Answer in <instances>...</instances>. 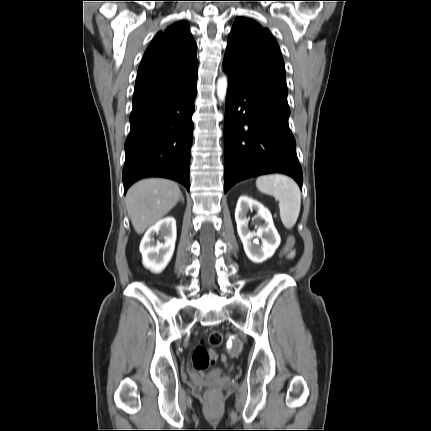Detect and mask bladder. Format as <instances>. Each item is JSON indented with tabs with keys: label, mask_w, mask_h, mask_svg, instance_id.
Listing matches in <instances>:
<instances>
[{
	"label": "bladder",
	"mask_w": 431,
	"mask_h": 431,
	"mask_svg": "<svg viewBox=\"0 0 431 431\" xmlns=\"http://www.w3.org/2000/svg\"><path fill=\"white\" fill-rule=\"evenodd\" d=\"M222 373H223L222 369H214V370L211 371L210 375L211 376H218V375H220Z\"/></svg>",
	"instance_id": "31cf9c89"
}]
</instances>
